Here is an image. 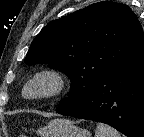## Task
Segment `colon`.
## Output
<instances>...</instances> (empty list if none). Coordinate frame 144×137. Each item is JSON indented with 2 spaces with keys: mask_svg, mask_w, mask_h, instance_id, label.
Listing matches in <instances>:
<instances>
[{
  "mask_svg": "<svg viewBox=\"0 0 144 137\" xmlns=\"http://www.w3.org/2000/svg\"><path fill=\"white\" fill-rule=\"evenodd\" d=\"M19 137H26V136H24V135H20Z\"/></svg>",
  "mask_w": 144,
  "mask_h": 137,
  "instance_id": "5ec220e1",
  "label": "colon"
}]
</instances>
